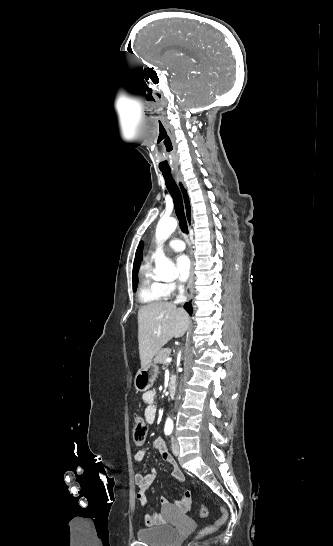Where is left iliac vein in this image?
I'll return each instance as SVG.
<instances>
[{
  "label": "left iliac vein",
  "mask_w": 333,
  "mask_h": 546,
  "mask_svg": "<svg viewBox=\"0 0 333 546\" xmlns=\"http://www.w3.org/2000/svg\"><path fill=\"white\" fill-rule=\"evenodd\" d=\"M172 452L175 456H178L180 453L179 444L174 437L172 438Z\"/></svg>",
  "instance_id": "left-iliac-vein-1"
}]
</instances>
